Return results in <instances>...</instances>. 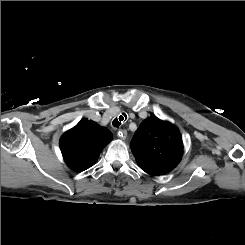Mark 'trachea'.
I'll return each instance as SVG.
<instances>
[{
	"mask_svg": "<svg viewBox=\"0 0 245 245\" xmlns=\"http://www.w3.org/2000/svg\"><path fill=\"white\" fill-rule=\"evenodd\" d=\"M127 120V115L122 113L118 118H115L112 122L113 126L118 128L122 123Z\"/></svg>",
	"mask_w": 245,
	"mask_h": 245,
	"instance_id": "3493384b",
	"label": "trachea"
}]
</instances>
